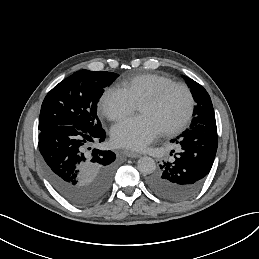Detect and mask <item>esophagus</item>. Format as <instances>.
<instances>
[{
  "mask_svg": "<svg viewBox=\"0 0 259 259\" xmlns=\"http://www.w3.org/2000/svg\"><path fill=\"white\" fill-rule=\"evenodd\" d=\"M126 156L130 158H139L141 157L140 154L132 152V151H126Z\"/></svg>",
  "mask_w": 259,
  "mask_h": 259,
  "instance_id": "esophagus-1",
  "label": "esophagus"
}]
</instances>
